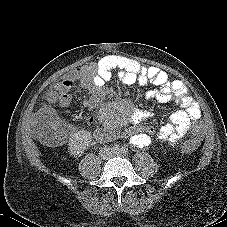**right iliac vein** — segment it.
<instances>
[{"label":"right iliac vein","instance_id":"right-iliac-vein-1","mask_svg":"<svg viewBox=\"0 0 227 227\" xmlns=\"http://www.w3.org/2000/svg\"><path fill=\"white\" fill-rule=\"evenodd\" d=\"M108 155H109V149H103V150H101L100 157L102 159H106L108 157Z\"/></svg>","mask_w":227,"mask_h":227}]
</instances>
